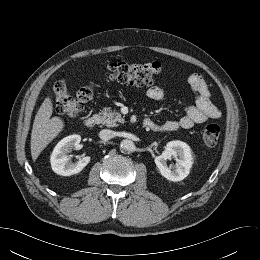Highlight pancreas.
<instances>
[{"label": "pancreas", "mask_w": 260, "mask_h": 260, "mask_svg": "<svg viewBox=\"0 0 260 260\" xmlns=\"http://www.w3.org/2000/svg\"><path fill=\"white\" fill-rule=\"evenodd\" d=\"M98 122L107 126V127H116L117 123H124V119L121 114L115 110H111L110 108H104L99 113Z\"/></svg>", "instance_id": "cf45deb5"}]
</instances>
